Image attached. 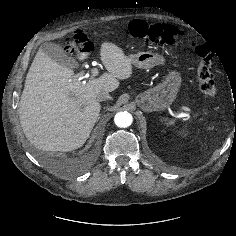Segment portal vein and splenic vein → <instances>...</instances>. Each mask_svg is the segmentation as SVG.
Segmentation results:
<instances>
[{"instance_id": "1", "label": "portal vein and splenic vein", "mask_w": 236, "mask_h": 236, "mask_svg": "<svg viewBox=\"0 0 236 236\" xmlns=\"http://www.w3.org/2000/svg\"><path fill=\"white\" fill-rule=\"evenodd\" d=\"M91 73H92L93 76H96V75L98 74V69H97V68H93L92 71H91ZM80 78H88V75H85L84 77H80ZM182 109H183L184 111H187V112H192V110H191L190 108L185 107V106L182 107Z\"/></svg>"}]
</instances>
